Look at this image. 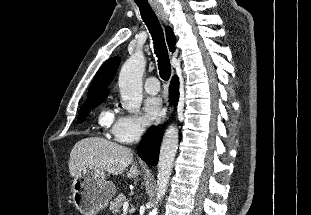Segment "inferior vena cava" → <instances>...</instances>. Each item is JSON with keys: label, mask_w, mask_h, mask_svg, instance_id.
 Wrapping results in <instances>:
<instances>
[{"label": "inferior vena cava", "mask_w": 311, "mask_h": 215, "mask_svg": "<svg viewBox=\"0 0 311 215\" xmlns=\"http://www.w3.org/2000/svg\"><path fill=\"white\" fill-rule=\"evenodd\" d=\"M143 130L141 128H136L134 132V140L135 142H138L140 140V136L142 134Z\"/></svg>", "instance_id": "602c4592"}]
</instances>
